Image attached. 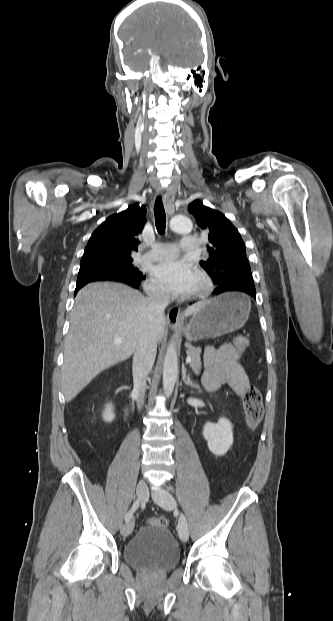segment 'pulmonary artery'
Masks as SVG:
<instances>
[{
	"label": "pulmonary artery",
	"instance_id": "obj_1",
	"mask_svg": "<svg viewBox=\"0 0 333 621\" xmlns=\"http://www.w3.org/2000/svg\"><path fill=\"white\" fill-rule=\"evenodd\" d=\"M181 249L185 252H194L198 249V240L193 236L182 238ZM178 248L171 243L159 242L154 244L150 251L142 255L143 259L157 261L170 259L176 255Z\"/></svg>",
	"mask_w": 333,
	"mask_h": 621
}]
</instances>
